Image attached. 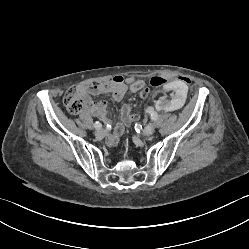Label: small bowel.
<instances>
[{"mask_svg": "<svg viewBox=\"0 0 249 249\" xmlns=\"http://www.w3.org/2000/svg\"><path fill=\"white\" fill-rule=\"evenodd\" d=\"M187 84V79L179 77ZM146 82L142 79L134 81L132 78H125L121 75L114 76L111 80L97 84L83 85L78 88L87 101L85 111L98 117L105 124H110L111 121L107 114L108 103L105 100L94 103L90 96L99 94H111L113 100L121 101L127 92L137 93L146 90ZM149 111V109H148ZM121 117L116 124L112 134L108 135L106 141L109 145L115 144L122 135L125 126L132 121L138 119V115L132 111L128 104H124L120 110Z\"/></svg>", "mask_w": 249, "mask_h": 249, "instance_id": "small-bowel-1", "label": "small bowel"}]
</instances>
